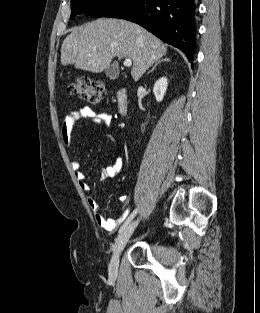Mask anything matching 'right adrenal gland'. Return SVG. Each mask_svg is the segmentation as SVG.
Instances as JSON below:
<instances>
[{"label": "right adrenal gland", "instance_id": "right-adrenal-gland-1", "mask_svg": "<svg viewBox=\"0 0 260 313\" xmlns=\"http://www.w3.org/2000/svg\"><path fill=\"white\" fill-rule=\"evenodd\" d=\"M162 61L169 62L170 60H169V58H167V57H165V58L162 59V60H158V61L154 64V66L152 67L151 71H149L148 73H151V72L156 68V66H157L159 63H161Z\"/></svg>", "mask_w": 260, "mask_h": 313}]
</instances>
